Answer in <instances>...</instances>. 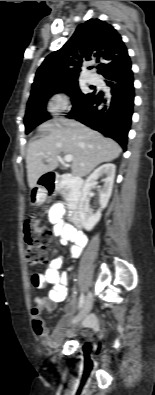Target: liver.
<instances>
[{"mask_svg": "<svg viewBox=\"0 0 155 395\" xmlns=\"http://www.w3.org/2000/svg\"><path fill=\"white\" fill-rule=\"evenodd\" d=\"M38 131L48 132V135L31 142L27 150V178L31 189L41 176L57 168L61 153L73 156L72 174L83 177L101 163L118 158L122 151L111 138L71 119L44 122Z\"/></svg>", "mask_w": 155, "mask_h": 395, "instance_id": "obj_1", "label": "liver"}]
</instances>
